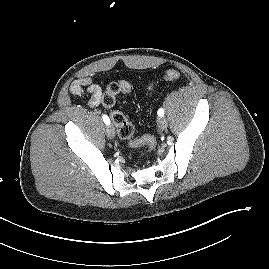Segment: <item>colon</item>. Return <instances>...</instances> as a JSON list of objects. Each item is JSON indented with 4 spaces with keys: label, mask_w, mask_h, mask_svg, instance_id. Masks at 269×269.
Returning a JSON list of instances; mask_svg holds the SVG:
<instances>
[{
    "label": "colon",
    "mask_w": 269,
    "mask_h": 269,
    "mask_svg": "<svg viewBox=\"0 0 269 269\" xmlns=\"http://www.w3.org/2000/svg\"><path fill=\"white\" fill-rule=\"evenodd\" d=\"M180 78V72L174 69L167 70L164 74V79L167 81H175ZM130 88L129 83L125 81L120 82H111L103 96L101 103L105 108H112L117 100V97L120 93L127 91ZM111 120L116 126L118 135L121 139L126 140L130 146L137 147L141 145H146L149 148H152L155 144V139L152 136H143L137 139H134V126L126 118L124 114L118 111L111 113Z\"/></svg>",
    "instance_id": "colon-1"
}]
</instances>
